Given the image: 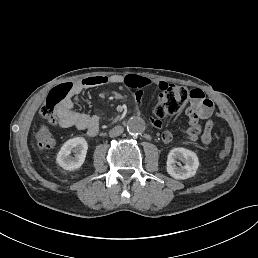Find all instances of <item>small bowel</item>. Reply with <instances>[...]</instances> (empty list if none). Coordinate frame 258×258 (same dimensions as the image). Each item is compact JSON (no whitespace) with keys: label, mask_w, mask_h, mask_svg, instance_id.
<instances>
[{"label":"small bowel","mask_w":258,"mask_h":258,"mask_svg":"<svg viewBox=\"0 0 258 258\" xmlns=\"http://www.w3.org/2000/svg\"><path fill=\"white\" fill-rule=\"evenodd\" d=\"M154 82L150 78L139 75H98L84 78L75 83V94L88 88L102 87L109 84H124L130 88L136 89V101L141 104L143 97V89L152 85ZM168 83L158 82L157 86L160 90L164 89ZM213 102L206 98L204 93L199 89H192L189 95V104L185 113L188 119V126L183 130L186 139L189 142H196L199 139L204 145H209L212 141L213 122L209 119L213 112ZM58 124L63 128L75 127L78 130L86 131L89 135H96L99 130V117L86 113L77 112L73 109L71 100L64 106L59 108L57 112ZM201 119H207L204 129L200 125ZM153 125L161 127V121L157 119L151 120ZM173 139L170 131H164L162 140L164 144H169ZM55 140L51 133L41 127L38 132V148L41 151H47L54 147Z\"/></svg>","instance_id":"obj_1"}]
</instances>
